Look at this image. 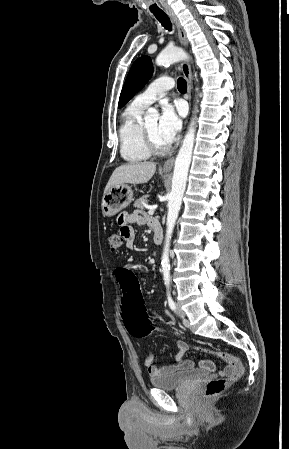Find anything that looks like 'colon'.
Masks as SVG:
<instances>
[{"mask_svg": "<svg viewBox=\"0 0 289 449\" xmlns=\"http://www.w3.org/2000/svg\"><path fill=\"white\" fill-rule=\"evenodd\" d=\"M108 242L110 250L118 252L123 247L124 238L120 233H111L108 236ZM113 275L118 280L119 290L123 293L121 300L123 318L128 332L137 338L145 337L154 332H161L162 330L154 326L146 314L143 298L133 274V269L114 268ZM199 349L217 355L234 367V371L228 378H215L207 383L205 394L208 397L221 394L230 384L238 381L244 374V365L239 357L225 351Z\"/></svg>", "mask_w": 289, "mask_h": 449, "instance_id": "colon-1", "label": "colon"}]
</instances>
